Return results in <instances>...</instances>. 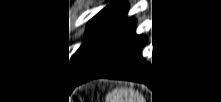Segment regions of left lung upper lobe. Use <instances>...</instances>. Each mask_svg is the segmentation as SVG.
Returning <instances> with one entry per match:
<instances>
[{
  "mask_svg": "<svg viewBox=\"0 0 221 102\" xmlns=\"http://www.w3.org/2000/svg\"><path fill=\"white\" fill-rule=\"evenodd\" d=\"M128 4L115 1L101 10L87 27L88 37L71 59V79L78 76L127 21Z\"/></svg>",
  "mask_w": 221,
  "mask_h": 102,
  "instance_id": "obj_1",
  "label": "left lung upper lobe"
}]
</instances>
